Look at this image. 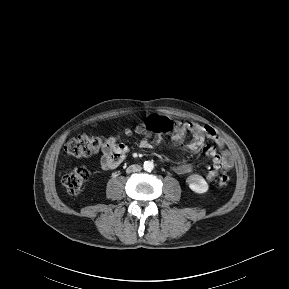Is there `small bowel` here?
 <instances>
[{
	"mask_svg": "<svg viewBox=\"0 0 289 289\" xmlns=\"http://www.w3.org/2000/svg\"><path fill=\"white\" fill-rule=\"evenodd\" d=\"M175 129L172 132V147L188 151L190 153H204L211 158V164L208 167L206 179H214L221 171L228 170L233 166V158L226 149L225 143L218 133L208 125H201L192 121L177 120ZM145 135L146 138L141 142V146L148 148L152 144L151 134L144 130L143 122L138 124L134 129L124 128L123 135L131 136L133 133ZM159 132V131H157ZM155 132V133H157ZM189 135L191 141L185 143V137ZM211 142L213 146L207 145ZM129 148L122 141L120 136H110L106 139L101 149L100 165L104 170H113L117 168L126 158ZM193 164L182 163L173 166V170L178 174H185L192 170Z\"/></svg>",
	"mask_w": 289,
	"mask_h": 289,
	"instance_id": "obj_1",
	"label": "small bowel"
}]
</instances>
